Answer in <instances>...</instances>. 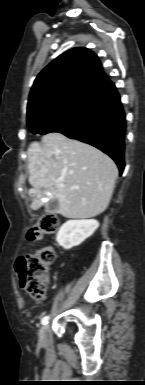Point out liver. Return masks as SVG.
<instances>
[{
  "label": "liver",
  "instance_id": "6515ba94",
  "mask_svg": "<svg viewBox=\"0 0 145 385\" xmlns=\"http://www.w3.org/2000/svg\"><path fill=\"white\" fill-rule=\"evenodd\" d=\"M31 208L57 200L66 218L95 217L108 207L118 169L114 161L84 142L59 132L42 137L28 149ZM60 185H63L61 187Z\"/></svg>",
  "mask_w": 145,
  "mask_h": 385
}]
</instances>
